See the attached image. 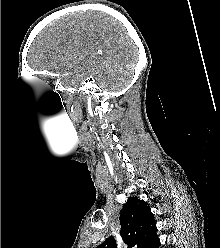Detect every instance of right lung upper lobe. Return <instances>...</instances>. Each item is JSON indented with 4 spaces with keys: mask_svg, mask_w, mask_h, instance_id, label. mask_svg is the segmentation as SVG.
<instances>
[{
    "mask_svg": "<svg viewBox=\"0 0 220 248\" xmlns=\"http://www.w3.org/2000/svg\"><path fill=\"white\" fill-rule=\"evenodd\" d=\"M119 219L120 233L128 248H151L159 240L154 214L144 200L130 197ZM97 248H117L116 240L109 237Z\"/></svg>",
    "mask_w": 220,
    "mask_h": 248,
    "instance_id": "1",
    "label": "right lung upper lobe"
}]
</instances>
